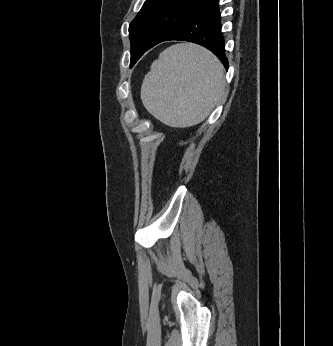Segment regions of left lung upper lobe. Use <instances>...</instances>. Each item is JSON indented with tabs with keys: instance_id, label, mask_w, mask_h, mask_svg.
Returning <instances> with one entry per match:
<instances>
[{
	"instance_id": "left-lung-upper-lobe-1",
	"label": "left lung upper lobe",
	"mask_w": 333,
	"mask_h": 346,
	"mask_svg": "<svg viewBox=\"0 0 333 346\" xmlns=\"http://www.w3.org/2000/svg\"><path fill=\"white\" fill-rule=\"evenodd\" d=\"M209 0H146L129 25L131 67Z\"/></svg>"
}]
</instances>
